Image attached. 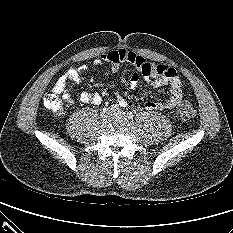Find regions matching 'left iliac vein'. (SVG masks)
Masks as SVG:
<instances>
[{
  "label": "left iliac vein",
  "mask_w": 233,
  "mask_h": 233,
  "mask_svg": "<svg viewBox=\"0 0 233 233\" xmlns=\"http://www.w3.org/2000/svg\"><path fill=\"white\" fill-rule=\"evenodd\" d=\"M114 118L122 119L126 117V113L122 110H118L117 112H114L113 114Z\"/></svg>",
  "instance_id": "obj_1"
}]
</instances>
